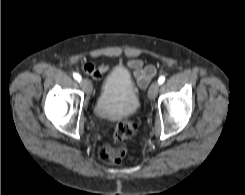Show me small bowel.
Returning a JSON list of instances; mask_svg holds the SVG:
<instances>
[{
	"instance_id": "small-bowel-1",
	"label": "small bowel",
	"mask_w": 245,
	"mask_h": 195,
	"mask_svg": "<svg viewBox=\"0 0 245 195\" xmlns=\"http://www.w3.org/2000/svg\"><path fill=\"white\" fill-rule=\"evenodd\" d=\"M109 67L110 66L107 64L94 65L92 63H85L82 66V70L93 79L100 80L104 73L108 71ZM128 67L133 71L136 83L141 88H145L156 74L154 66H145L140 59L130 60L128 62Z\"/></svg>"
}]
</instances>
